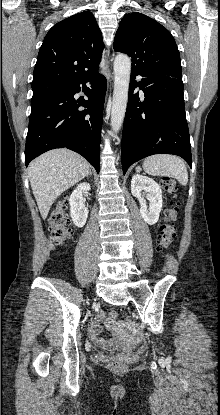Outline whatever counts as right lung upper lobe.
Here are the masks:
<instances>
[{
	"instance_id": "cb5924a9",
	"label": "right lung upper lobe",
	"mask_w": 220,
	"mask_h": 415,
	"mask_svg": "<svg viewBox=\"0 0 220 415\" xmlns=\"http://www.w3.org/2000/svg\"><path fill=\"white\" fill-rule=\"evenodd\" d=\"M104 44L89 11L55 24L46 34L34 68V83H70L98 71Z\"/></svg>"
}]
</instances>
